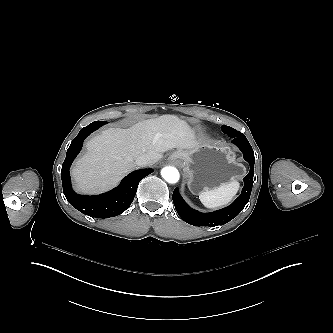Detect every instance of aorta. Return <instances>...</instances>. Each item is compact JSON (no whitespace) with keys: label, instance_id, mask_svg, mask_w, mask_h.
Returning <instances> with one entry per match:
<instances>
[{"label":"aorta","instance_id":"aorta-1","mask_svg":"<svg viewBox=\"0 0 333 333\" xmlns=\"http://www.w3.org/2000/svg\"><path fill=\"white\" fill-rule=\"evenodd\" d=\"M161 175L163 179L169 184H176L180 179V173L177 168L167 166L162 169Z\"/></svg>","mask_w":333,"mask_h":333}]
</instances>
